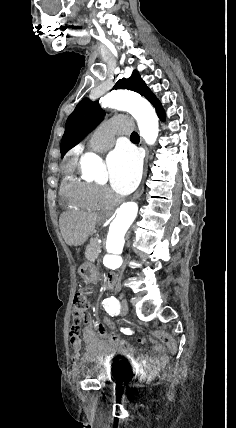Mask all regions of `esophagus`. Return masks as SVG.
<instances>
[{
    "instance_id": "obj_1",
    "label": "esophagus",
    "mask_w": 236,
    "mask_h": 428,
    "mask_svg": "<svg viewBox=\"0 0 236 428\" xmlns=\"http://www.w3.org/2000/svg\"><path fill=\"white\" fill-rule=\"evenodd\" d=\"M140 143H141L142 146H144V148L146 150L145 169H144V175H143V179L141 181V184H140L139 188L137 189V191L133 195V198H135V199L139 198L143 194V192H144L145 179H146V176H147V169H148V165H147L148 164V150H147V147L145 146L144 141H143L142 138H140Z\"/></svg>"
}]
</instances>
